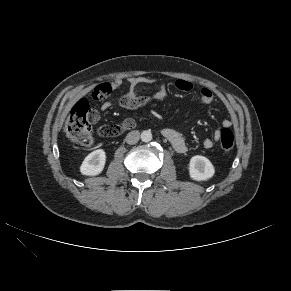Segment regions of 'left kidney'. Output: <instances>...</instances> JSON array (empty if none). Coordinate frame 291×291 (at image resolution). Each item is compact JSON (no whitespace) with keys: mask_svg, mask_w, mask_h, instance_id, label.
Masks as SVG:
<instances>
[{"mask_svg":"<svg viewBox=\"0 0 291 291\" xmlns=\"http://www.w3.org/2000/svg\"><path fill=\"white\" fill-rule=\"evenodd\" d=\"M214 173V166L206 157L196 155L190 159L189 175L193 180L206 181L213 177Z\"/></svg>","mask_w":291,"mask_h":291,"instance_id":"obj_1","label":"left kidney"}]
</instances>
